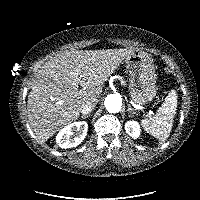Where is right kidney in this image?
<instances>
[{"instance_id":"ca27d5eb","label":"right kidney","mask_w":200,"mask_h":200,"mask_svg":"<svg viewBox=\"0 0 200 200\" xmlns=\"http://www.w3.org/2000/svg\"><path fill=\"white\" fill-rule=\"evenodd\" d=\"M88 124L85 121L73 122L59 131L56 143L61 148H72L79 145L86 137Z\"/></svg>"}]
</instances>
